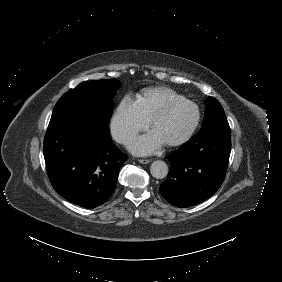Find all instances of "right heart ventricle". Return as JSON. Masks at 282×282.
Masks as SVG:
<instances>
[{"label": "right heart ventricle", "mask_w": 282, "mask_h": 282, "mask_svg": "<svg viewBox=\"0 0 282 282\" xmlns=\"http://www.w3.org/2000/svg\"><path fill=\"white\" fill-rule=\"evenodd\" d=\"M178 99L183 98L171 89L156 87L145 90L137 97V102L145 115L151 120L163 103Z\"/></svg>", "instance_id": "1"}]
</instances>
